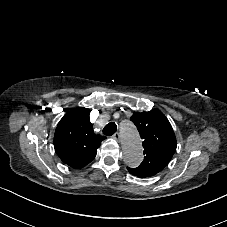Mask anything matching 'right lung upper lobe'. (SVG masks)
Masks as SVG:
<instances>
[{
  "label": "right lung upper lobe",
  "instance_id": "right-lung-upper-lobe-1",
  "mask_svg": "<svg viewBox=\"0 0 227 227\" xmlns=\"http://www.w3.org/2000/svg\"><path fill=\"white\" fill-rule=\"evenodd\" d=\"M89 114V109L77 107L62 117L55 131V152L72 168L80 169L89 164L101 141L106 139L94 133Z\"/></svg>",
  "mask_w": 227,
  "mask_h": 227
}]
</instances>
